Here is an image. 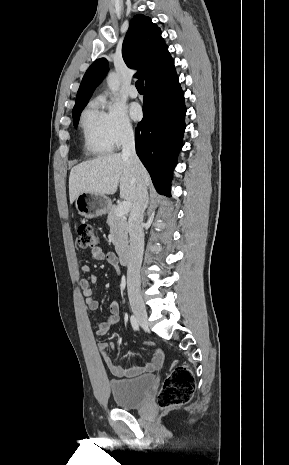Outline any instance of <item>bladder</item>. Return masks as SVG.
I'll list each match as a JSON object with an SVG mask.
<instances>
[{
	"mask_svg": "<svg viewBox=\"0 0 289 465\" xmlns=\"http://www.w3.org/2000/svg\"><path fill=\"white\" fill-rule=\"evenodd\" d=\"M154 382V375H142L135 378L112 379L109 381V388L118 407L135 409L146 402Z\"/></svg>",
	"mask_w": 289,
	"mask_h": 465,
	"instance_id": "obj_1",
	"label": "bladder"
}]
</instances>
